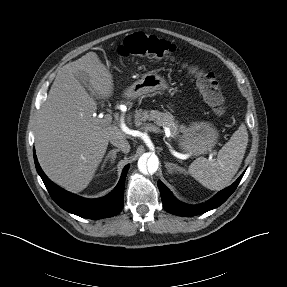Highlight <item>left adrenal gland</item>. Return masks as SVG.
Here are the masks:
<instances>
[{
    "label": "left adrenal gland",
    "instance_id": "1",
    "mask_svg": "<svg viewBox=\"0 0 287 287\" xmlns=\"http://www.w3.org/2000/svg\"><path fill=\"white\" fill-rule=\"evenodd\" d=\"M165 167L167 168L169 173H173V172H180V173H186L185 169H183L182 167L174 164V163H170V162H165Z\"/></svg>",
    "mask_w": 287,
    "mask_h": 287
}]
</instances>
